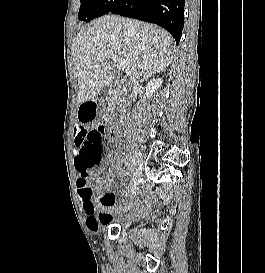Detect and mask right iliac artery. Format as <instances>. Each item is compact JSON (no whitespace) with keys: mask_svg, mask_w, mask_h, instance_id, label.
<instances>
[{"mask_svg":"<svg viewBox=\"0 0 265 273\" xmlns=\"http://www.w3.org/2000/svg\"><path fill=\"white\" fill-rule=\"evenodd\" d=\"M129 161L134 165V166H137V160H136V158L135 157H133V156H131V157H129Z\"/></svg>","mask_w":265,"mask_h":273,"instance_id":"right-iliac-artery-1","label":"right iliac artery"}]
</instances>
